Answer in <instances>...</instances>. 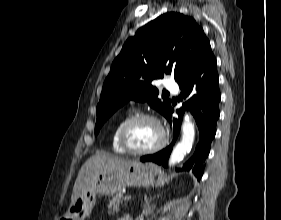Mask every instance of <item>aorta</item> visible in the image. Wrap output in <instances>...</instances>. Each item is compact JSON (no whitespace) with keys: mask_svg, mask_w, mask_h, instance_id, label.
<instances>
[{"mask_svg":"<svg viewBox=\"0 0 281 220\" xmlns=\"http://www.w3.org/2000/svg\"><path fill=\"white\" fill-rule=\"evenodd\" d=\"M182 132V140L175 146L169 158L170 166H173L176 163L180 162L186 155V153H188L192 148L195 138V129L194 124L189 115H185L182 124Z\"/></svg>","mask_w":281,"mask_h":220,"instance_id":"762f6f07","label":"aorta"}]
</instances>
